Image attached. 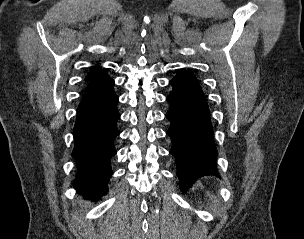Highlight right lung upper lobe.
<instances>
[{
  "instance_id": "obj_1",
  "label": "right lung upper lobe",
  "mask_w": 304,
  "mask_h": 239,
  "mask_svg": "<svg viewBox=\"0 0 304 239\" xmlns=\"http://www.w3.org/2000/svg\"><path fill=\"white\" fill-rule=\"evenodd\" d=\"M100 74L101 73H99L98 68H96L91 72L90 79H93V78L99 76Z\"/></svg>"
}]
</instances>
